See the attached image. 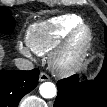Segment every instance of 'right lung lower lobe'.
<instances>
[{
  "instance_id": "1",
  "label": "right lung lower lobe",
  "mask_w": 107,
  "mask_h": 107,
  "mask_svg": "<svg viewBox=\"0 0 107 107\" xmlns=\"http://www.w3.org/2000/svg\"><path fill=\"white\" fill-rule=\"evenodd\" d=\"M38 78L39 69L0 70V107H17L21 98L36 87Z\"/></svg>"
}]
</instances>
